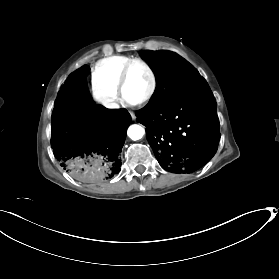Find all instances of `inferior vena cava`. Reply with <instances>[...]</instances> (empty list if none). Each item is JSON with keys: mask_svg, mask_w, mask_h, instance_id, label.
I'll use <instances>...</instances> for the list:
<instances>
[{"mask_svg": "<svg viewBox=\"0 0 279 279\" xmlns=\"http://www.w3.org/2000/svg\"><path fill=\"white\" fill-rule=\"evenodd\" d=\"M115 99H107L104 106L107 108H119V105L114 102Z\"/></svg>", "mask_w": 279, "mask_h": 279, "instance_id": "obj_1", "label": "inferior vena cava"}]
</instances>
